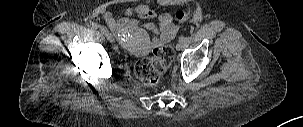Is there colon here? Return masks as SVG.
Returning <instances> with one entry per match:
<instances>
[{"label":"colon","mask_w":303,"mask_h":127,"mask_svg":"<svg viewBox=\"0 0 303 127\" xmlns=\"http://www.w3.org/2000/svg\"><path fill=\"white\" fill-rule=\"evenodd\" d=\"M189 12L178 11L175 15L177 21L182 22ZM175 52L169 45L158 46L151 57L141 59L135 65L136 76L148 86H157L162 74L174 59Z\"/></svg>","instance_id":"obj_1"}]
</instances>
